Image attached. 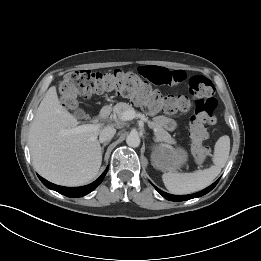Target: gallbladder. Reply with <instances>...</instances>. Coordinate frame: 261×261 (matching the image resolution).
<instances>
[{
    "label": "gallbladder",
    "instance_id": "obj_1",
    "mask_svg": "<svg viewBox=\"0 0 261 261\" xmlns=\"http://www.w3.org/2000/svg\"><path fill=\"white\" fill-rule=\"evenodd\" d=\"M75 116H77L78 118H83V117L85 116V113H84L83 110L77 109V110L75 111Z\"/></svg>",
    "mask_w": 261,
    "mask_h": 261
}]
</instances>
